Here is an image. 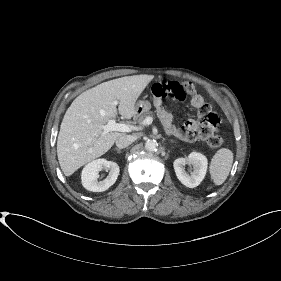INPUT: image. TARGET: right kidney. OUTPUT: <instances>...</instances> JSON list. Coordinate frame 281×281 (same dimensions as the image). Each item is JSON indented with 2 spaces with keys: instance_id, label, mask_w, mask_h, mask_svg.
I'll use <instances>...</instances> for the list:
<instances>
[{
  "instance_id": "right-kidney-1",
  "label": "right kidney",
  "mask_w": 281,
  "mask_h": 281,
  "mask_svg": "<svg viewBox=\"0 0 281 281\" xmlns=\"http://www.w3.org/2000/svg\"><path fill=\"white\" fill-rule=\"evenodd\" d=\"M102 169L109 171V174L104 180L98 181L99 172ZM119 171L118 164L113 161H107L106 159L94 160L88 163L82 170V185L85 189L92 192L105 191L116 182Z\"/></svg>"
}]
</instances>
